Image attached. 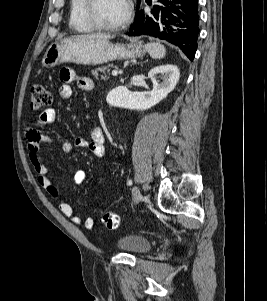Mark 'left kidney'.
Returning a JSON list of instances; mask_svg holds the SVG:
<instances>
[{"label":"left kidney","mask_w":267,"mask_h":301,"mask_svg":"<svg viewBox=\"0 0 267 301\" xmlns=\"http://www.w3.org/2000/svg\"><path fill=\"white\" fill-rule=\"evenodd\" d=\"M148 77L153 83L152 91L141 93L136 97L127 87L119 86L108 93L107 103L114 107L149 109L166 98L175 88L180 72L176 65L167 64L151 69ZM158 78H161L162 82H159Z\"/></svg>","instance_id":"5707ae66"}]
</instances>
